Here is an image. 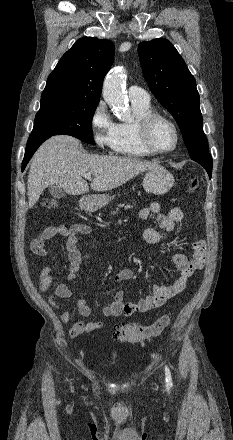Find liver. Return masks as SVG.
<instances>
[{"label": "liver", "mask_w": 233, "mask_h": 440, "mask_svg": "<svg viewBox=\"0 0 233 440\" xmlns=\"http://www.w3.org/2000/svg\"><path fill=\"white\" fill-rule=\"evenodd\" d=\"M161 167L158 163L132 157L82 153L78 139L56 135L33 156L27 181L28 207L32 208L48 186L63 188L70 195L89 191L84 175H94V191L117 188L141 172Z\"/></svg>", "instance_id": "6515ba94"}]
</instances>
